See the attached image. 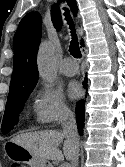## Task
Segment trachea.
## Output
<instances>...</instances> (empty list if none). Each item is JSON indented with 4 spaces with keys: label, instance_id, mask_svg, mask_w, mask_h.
<instances>
[{
    "label": "trachea",
    "instance_id": "obj_1",
    "mask_svg": "<svg viewBox=\"0 0 125 167\" xmlns=\"http://www.w3.org/2000/svg\"><path fill=\"white\" fill-rule=\"evenodd\" d=\"M65 16L68 24L70 25L71 36H72V40L70 42V47H69L70 54L75 58H81V52L79 49L78 38L75 32V26L71 19L68 9H66Z\"/></svg>",
    "mask_w": 125,
    "mask_h": 167
}]
</instances>
